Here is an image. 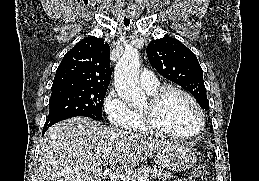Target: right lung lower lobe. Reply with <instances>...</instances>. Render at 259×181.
<instances>
[{
	"instance_id": "obj_1",
	"label": "right lung lower lobe",
	"mask_w": 259,
	"mask_h": 181,
	"mask_svg": "<svg viewBox=\"0 0 259 181\" xmlns=\"http://www.w3.org/2000/svg\"><path fill=\"white\" fill-rule=\"evenodd\" d=\"M47 129L48 127L43 128V134L46 132Z\"/></svg>"
}]
</instances>
